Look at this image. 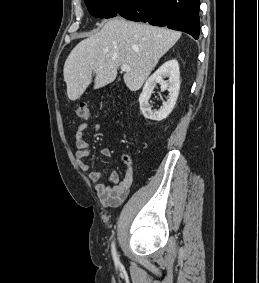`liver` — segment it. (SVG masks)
Masks as SVG:
<instances>
[{"label":"liver","mask_w":259,"mask_h":283,"mask_svg":"<svg viewBox=\"0 0 259 283\" xmlns=\"http://www.w3.org/2000/svg\"><path fill=\"white\" fill-rule=\"evenodd\" d=\"M181 33L116 17L96 34L78 43L67 57L63 75L67 96L74 101L92 82L94 89L112 83L118 68L126 64L131 70L124 82L131 91L139 90L160 58L178 41Z\"/></svg>","instance_id":"6515ba94"}]
</instances>
